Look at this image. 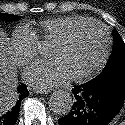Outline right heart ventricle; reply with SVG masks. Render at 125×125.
Listing matches in <instances>:
<instances>
[{"mask_svg": "<svg viewBox=\"0 0 125 125\" xmlns=\"http://www.w3.org/2000/svg\"><path fill=\"white\" fill-rule=\"evenodd\" d=\"M90 18L82 16H64L46 19L39 22L37 37L45 42H53L58 36L65 32L70 26Z\"/></svg>", "mask_w": 125, "mask_h": 125, "instance_id": "obj_1", "label": "right heart ventricle"}]
</instances>
